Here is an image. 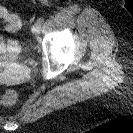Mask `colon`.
<instances>
[{
    "label": "colon",
    "instance_id": "obj_1",
    "mask_svg": "<svg viewBox=\"0 0 133 133\" xmlns=\"http://www.w3.org/2000/svg\"><path fill=\"white\" fill-rule=\"evenodd\" d=\"M0 21L8 23V28L15 31L21 26V20L17 14L12 13L7 8L0 6ZM17 95L14 91H7L2 96V102L6 105H12L16 102Z\"/></svg>",
    "mask_w": 133,
    "mask_h": 133
}]
</instances>
